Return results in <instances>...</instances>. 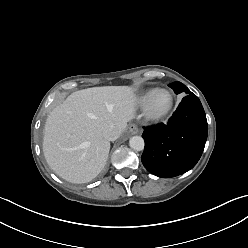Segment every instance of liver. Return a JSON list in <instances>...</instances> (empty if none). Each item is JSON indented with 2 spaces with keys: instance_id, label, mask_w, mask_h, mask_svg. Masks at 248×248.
<instances>
[{
  "instance_id": "liver-1",
  "label": "liver",
  "mask_w": 248,
  "mask_h": 248,
  "mask_svg": "<svg viewBox=\"0 0 248 248\" xmlns=\"http://www.w3.org/2000/svg\"><path fill=\"white\" fill-rule=\"evenodd\" d=\"M137 97L129 86L93 87L72 93L49 114L43 152L50 168L73 183H86L104 168L110 142L103 131L119 134L135 117ZM120 136V135H119Z\"/></svg>"
}]
</instances>
